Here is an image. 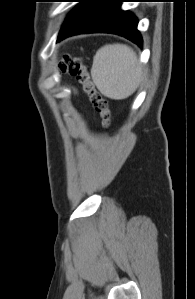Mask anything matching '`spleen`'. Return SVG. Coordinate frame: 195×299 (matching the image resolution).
Returning a JSON list of instances; mask_svg holds the SVG:
<instances>
[{"label": "spleen", "mask_w": 195, "mask_h": 299, "mask_svg": "<svg viewBox=\"0 0 195 299\" xmlns=\"http://www.w3.org/2000/svg\"><path fill=\"white\" fill-rule=\"evenodd\" d=\"M91 76L104 96L120 100L136 91L142 79V68L129 46L109 44L96 52Z\"/></svg>", "instance_id": "spleen-1"}]
</instances>
